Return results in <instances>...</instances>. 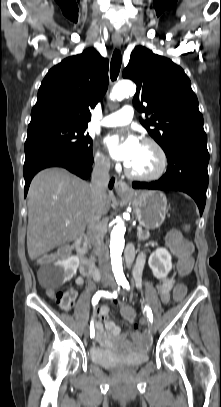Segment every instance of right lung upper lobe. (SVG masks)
I'll list each match as a JSON object with an SVG mask.
<instances>
[{
    "mask_svg": "<svg viewBox=\"0 0 221 407\" xmlns=\"http://www.w3.org/2000/svg\"><path fill=\"white\" fill-rule=\"evenodd\" d=\"M108 59L94 48L64 59L45 76L28 128L50 124L87 126L108 87Z\"/></svg>",
    "mask_w": 221,
    "mask_h": 407,
    "instance_id": "right-lung-upper-lobe-1",
    "label": "right lung upper lobe"
}]
</instances>
